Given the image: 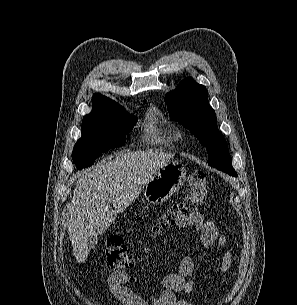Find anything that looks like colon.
I'll return each mask as SVG.
<instances>
[{"mask_svg":"<svg viewBox=\"0 0 297 305\" xmlns=\"http://www.w3.org/2000/svg\"><path fill=\"white\" fill-rule=\"evenodd\" d=\"M208 194L206 175L203 170L197 169L190 176L187 194L158 215L152 229L153 233L158 234L169 227L179 216L197 211L205 203ZM104 256L107 267L114 271L125 269L134 263V258L129 254L127 245L120 235H113L108 239Z\"/></svg>","mask_w":297,"mask_h":305,"instance_id":"5ec220e1","label":"colon"}]
</instances>
